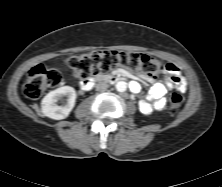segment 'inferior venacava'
Listing matches in <instances>:
<instances>
[{"mask_svg": "<svg viewBox=\"0 0 222 187\" xmlns=\"http://www.w3.org/2000/svg\"><path fill=\"white\" fill-rule=\"evenodd\" d=\"M109 87V84L106 81H100L98 82L96 89L98 91H104Z\"/></svg>", "mask_w": 222, "mask_h": 187, "instance_id": "obj_1", "label": "inferior vena cava"}]
</instances>
